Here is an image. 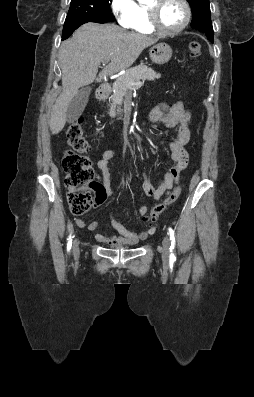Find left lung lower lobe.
<instances>
[{
	"label": "left lung lower lobe",
	"mask_w": 254,
	"mask_h": 397,
	"mask_svg": "<svg viewBox=\"0 0 254 397\" xmlns=\"http://www.w3.org/2000/svg\"><path fill=\"white\" fill-rule=\"evenodd\" d=\"M207 38H208L210 41H212V42H213V37H211V38H210V37H207Z\"/></svg>",
	"instance_id": "0a47b994"
}]
</instances>
